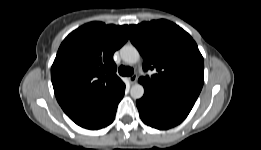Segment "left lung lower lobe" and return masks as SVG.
I'll return each mask as SVG.
<instances>
[{
    "mask_svg": "<svg viewBox=\"0 0 261 150\" xmlns=\"http://www.w3.org/2000/svg\"><path fill=\"white\" fill-rule=\"evenodd\" d=\"M194 103L195 101L176 94L148 89H145L144 96L136 101L142 121L156 129H169L180 124Z\"/></svg>",
    "mask_w": 261,
    "mask_h": 150,
    "instance_id": "1",
    "label": "left lung lower lobe"
}]
</instances>
